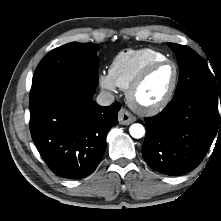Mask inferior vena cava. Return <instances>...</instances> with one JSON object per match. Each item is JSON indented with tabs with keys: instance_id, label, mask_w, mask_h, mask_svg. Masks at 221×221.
Returning <instances> with one entry per match:
<instances>
[{
	"instance_id": "obj_1",
	"label": "inferior vena cava",
	"mask_w": 221,
	"mask_h": 221,
	"mask_svg": "<svg viewBox=\"0 0 221 221\" xmlns=\"http://www.w3.org/2000/svg\"><path fill=\"white\" fill-rule=\"evenodd\" d=\"M114 96L109 91H101L96 98V102L100 106H109L114 102Z\"/></svg>"
}]
</instances>
